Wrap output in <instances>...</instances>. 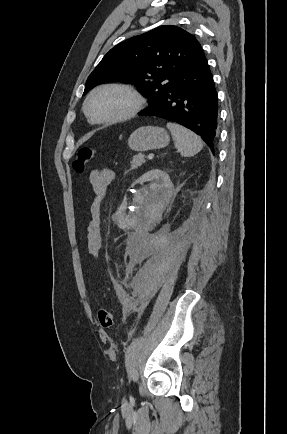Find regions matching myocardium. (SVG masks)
Returning a JSON list of instances; mask_svg holds the SVG:
<instances>
[{"label":"myocardium","instance_id":"1","mask_svg":"<svg viewBox=\"0 0 287 434\" xmlns=\"http://www.w3.org/2000/svg\"><path fill=\"white\" fill-rule=\"evenodd\" d=\"M111 88L119 89V90L126 92L132 99L131 106L129 107V109L125 113H123L119 116H116V117L103 118V119L94 118L89 111V104H90L91 99L98 92L105 90V89H111ZM144 103H145L144 97L132 85L122 83V82H106V83H102L100 85H97L89 92V94L87 95L85 102H84V112H85V115L87 116L88 120L94 124H97V125L115 124V123L127 121V120L135 117L142 110Z\"/></svg>","mask_w":287,"mask_h":434}]
</instances>
